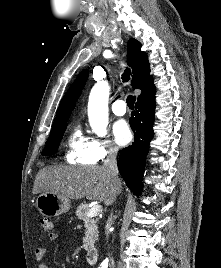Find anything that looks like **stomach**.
<instances>
[{
	"mask_svg": "<svg viewBox=\"0 0 221 268\" xmlns=\"http://www.w3.org/2000/svg\"><path fill=\"white\" fill-rule=\"evenodd\" d=\"M35 205L39 212L46 217H56L70 209L69 199L50 192L40 193L36 198Z\"/></svg>",
	"mask_w": 221,
	"mask_h": 268,
	"instance_id": "obj_1",
	"label": "stomach"
}]
</instances>
